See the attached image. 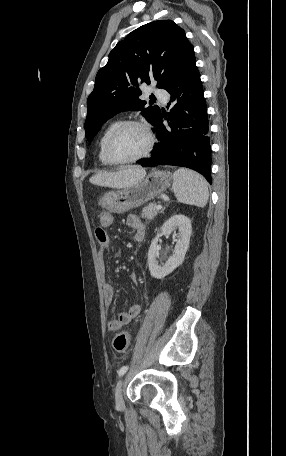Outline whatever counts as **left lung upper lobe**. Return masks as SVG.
Masks as SVG:
<instances>
[{
  "mask_svg": "<svg viewBox=\"0 0 286 456\" xmlns=\"http://www.w3.org/2000/svg\"><path fill=\"white\" fill-rule=\"evenodd\" d=\"M192 60L193 46L172 20L154 21L131 32L96 75L87 100L85 136L91 140L103 123L125 110H141L155 124L160 108L139 99V86L156 80L157 87L165 89Z\"/></svg>",
  "mask_w": 286,
  "mask_h": 456,
  "instance_id": "1",
  "label": "left lung upper lobe"
}]
</instances>
